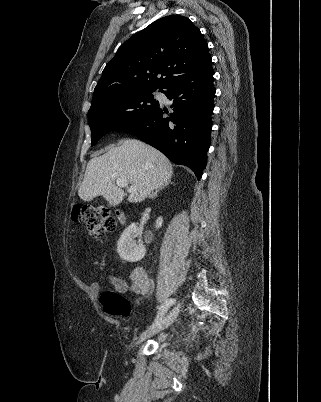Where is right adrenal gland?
<instances>
[{"label":"right adrenal gland","instance_id":"1","mask_svg":"<svg viewBox=\"0 0 321 402\" xmlns=\"http://www.w3.org/2000/svg\"><path fill=\"white\" fill-rule=\"evenodd\" d=\"M169 183H171V181H170V180H169V181H168V183H166L165 185H163V186H161V187L157 188V189L155 190V192H152L151 194H149V198H153V197H155V196H156V194H157V192H159V190H161L162 188H164V187L168 186V184H169Z\"/></svg>","mask_w":321,"mask_h":402}]
</instances>
